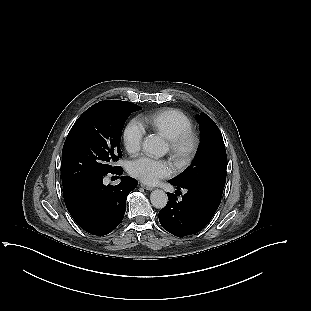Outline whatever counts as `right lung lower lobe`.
<instances>
[{"label": "right lung lower lobe", "instance_id": "right-lung-lower-lobe-1", "mask_svg": "<svg viewBox=\"0 0 311 311\" xmlns=\"http://www.w3.org/2000/svg\"><path fill=\"white\" fill-rule=\"evenodd\" d=\"M119 167L112 174L121 175ZM104 175L79 179L63 187L66 207L75 222L93 235H106L123 220L126 198L138 182L129 177H121L115 186L103 184Z\"/></svg>", "mask_w": 311, "mask_h": 311}]
</instances>
